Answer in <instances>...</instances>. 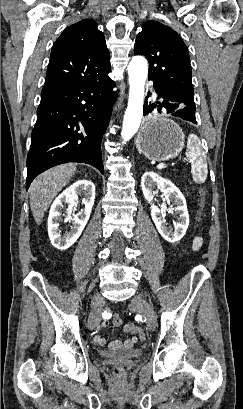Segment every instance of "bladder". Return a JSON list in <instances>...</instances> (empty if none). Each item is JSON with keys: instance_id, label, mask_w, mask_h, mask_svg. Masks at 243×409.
<instances>
[{"instance_id": "bladder-1", "label": "bladder", "mask_w": 243, "mask_h": 409, "mask_svg": "<svg viewBox=\"0 0 243 409\" xmlns=\"http://www.w3.org/2000/svg\"><path fill=\"white\" fill-rule=\"evenodd\" d=\"M101 357H116L123 360L138 358L142 355V350L139 348L117 349V350H100L98 352Z\"/></svg>"}]
</instances>
